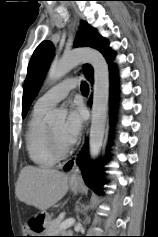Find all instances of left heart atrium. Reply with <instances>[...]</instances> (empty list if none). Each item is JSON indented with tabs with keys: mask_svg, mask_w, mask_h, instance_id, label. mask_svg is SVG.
I'll list each match as a JSON object with an SVG mask.
<instances>
[{
	"mask_svg": "<svg viewBox=\"0 0 158 237\" xmlns=\"http://www.w3.org/2000/svg\"><path fill=\"white\" fill-rule=\"evenodd\" d=\"M83 128L82 109L78 105H72L69 109L66 122L61 131L62 140L68 145H73L80 137Z\"/></svg>",
	"mask_w": 158,
	"mask_h": 237,
	"instance_id": "left-heart-atrium-1",
	"label": "left heart atrium"
}]
</instances>
